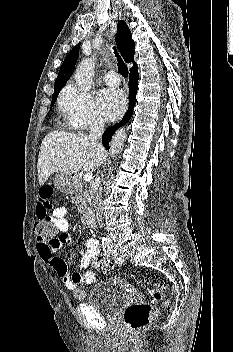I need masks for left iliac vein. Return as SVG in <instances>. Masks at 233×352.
<instances>
[{"label": "left iliac vein", "instance_id": "left-iliac-vein-1", "mask_svg": "<svg viewBox=\"0 0 233 352\" xmlns=\"http://www.w3.org/2000/svg\"><path fill=\"white\" fill-rule=\"evenodd\" d=\"M120 256L122 257V259L125 261L126 259H128V254L123 250L120 249Z\"/></svg>", "mask_w": 233, "mask_h": 352}]
</instances>
